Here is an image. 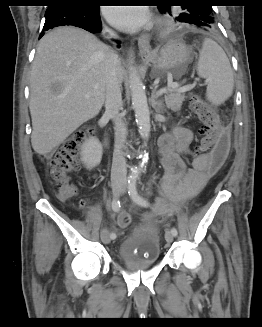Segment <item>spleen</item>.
<instances>
[{
    "instance_id": "spleen-1",
    "label": "spleen",
    "mask_w": 262,
    "mask_h": 327,
    "mask_svg": "<svg viewBox=\"0 0 262 327\" xmlns=\"http://www.w3.org/2000/svg\"><path fill=\"white\" fill-rule=\"evenodd\" d=\"M197 73L207 81V99L214 105L225 102L233 92L234 79L228 57L212 39H204Z\"/></svg>"
}]
</instances>
